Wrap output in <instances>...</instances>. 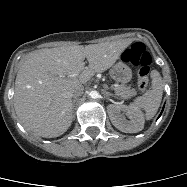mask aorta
<instances>
[{
    "instance_id": "1",
    "label": "aorta",
    "mask_w": 187,
    "mask_h": 187,
    "mask_svg": "<svg viewBox=\"0 0 187 187\" xmlns=\"http://www.w3.org/2000/svg\"><path fill=\"white\" fill-rule=\"evenodd\" d=\"M89 96L93 99L99 98V93L97 91H90Z\"/></svg>"
}]
</instances>
